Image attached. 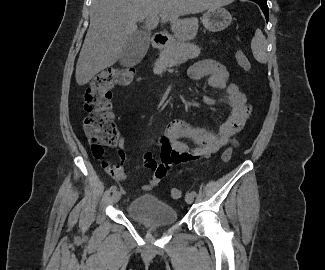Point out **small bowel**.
<instances>
[{
	"mask_svg": "<svg viewBox=\"0 0 325 270\" xmlns=\"http://www.w3.org/2000/svg\"><path fill=\"white\" fill-rule=\"evenodd\" d=\"M189 77L197 82L207 79L210 87L224 90L226 96L221 101L208 96H203L202 99L210 105L219 102L226 104L230 109V114L219 126L217 132L204 127L192 126L180 119L171 121L160 142L162 164L157 163L151 152L143 154L144 167L152 171L148 183L141 187L143 191H150L157 186L173 165L197 158H207L218 152L241 130L249 116L250 107L246 104L245 95L236 84L230 82L228 72L223 65L213 61H199L191 66ZM123 144V139H120L118 158L121 165L109 166L104 159H98L101 165L120 183L126 181L122 165L128 161L122 151Z\"/></svg>",
	"mask_w": 325,
	"mask_h": 270,
	"instance_id": "obj_1",
	"label": "small bowel"
}]
</instances>
